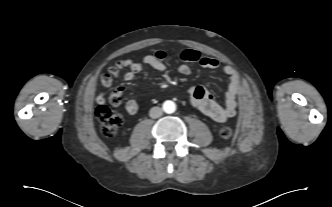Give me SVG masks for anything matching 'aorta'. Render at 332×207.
<instances>
[{"label": "aorta", "mask_w": 332, "mask_h": 207, "mask_svg": "<svg viewBox=\"0 0 332 207\" xmlns=\"http://www.w3.org/2000/svg\"><path fill=\"white\" fill-rule=\"evenodd\" d=\"M163 110L167 114H172L176 110V104L171 100H167L163 103Z\"/></svg>", "instance_id": "1"}]
</instances>
